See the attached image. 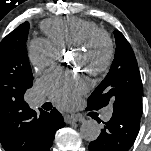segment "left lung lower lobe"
<instances>
[{
	"label": "left lung lower lobe",
	"instance_id": "obj_1",
	"mask_svg": "<svg viewBox=\"0 0 151 151\" xmlns=\"http://www.w3.org/2000/svg\"><path fill=\"white\" fill-rule=\"evenodd\" d=\"M103 124L100 136L89 144V151H128L139 132L140 120L138 118L127 120L112 115L111 119Z\"/></svg>",
	"mask_w": 151,
	"mask_h": 151
}]
</instances>
